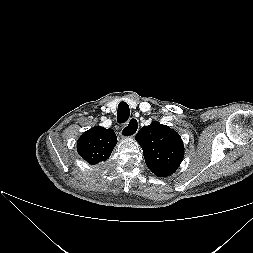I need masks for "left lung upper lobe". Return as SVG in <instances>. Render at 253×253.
<instances>
[{
    "label": "left lung upper lobe",
    "instance_id": "1",
    "mask_svg": "<svg viewBox=\"0 0 253 253\" xmlns=\"http://www.w3.org/2000/svg\"><path fill=\"white\" fill-rule=\"evenodd\" d=\"M135 138L143 149L146 165L155 175L166 177L177 170L184 147L176 131L154 121L142 127Z\"/></svg>",
    "mask_w": 253,
    "mask_h": 253
}]
</instances>
